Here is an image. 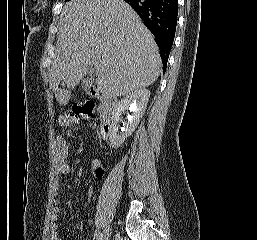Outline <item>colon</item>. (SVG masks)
Wrapping results in <instances>:
<instances>
[{"label": "colon", "mask_w": 257, "mask_h": 240, "mask_svg": "<svg viewBox=\"0 0 257 240\" xmlns=\"http://www.w3.org/2000/svg\"><path fill=\"white\" fill-rule=\"evenodd\" d=\"M95 106L91 101L77 102L72 106V109L66 113L67 121H78L80 119L89 120L94 117Z\"/></svg>", "instance_id": "obj_1"}]
</instances>
